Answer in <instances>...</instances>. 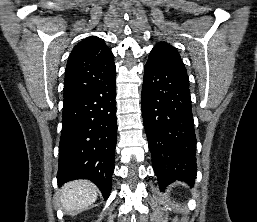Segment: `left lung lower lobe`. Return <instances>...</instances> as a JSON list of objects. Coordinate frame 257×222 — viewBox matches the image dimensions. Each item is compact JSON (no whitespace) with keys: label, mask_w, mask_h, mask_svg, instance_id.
Masks as SVG:
<instances>
[{"label":"left lung lower lobe","mask_w":257,"mask_h":222,"mask_svg":"<svg viewBox=\"0 0 257 222\" xmlns=\"http://www.w3.org/2000/svg\"><path fill=\"white\" fill-rule=\"evenodd\" d=\"M142 115L161 190L181 180L194 184L196 137L188 77L151 60L144 68Z\"/></svg>","instance_id":"obj_1"}]
</instances>
